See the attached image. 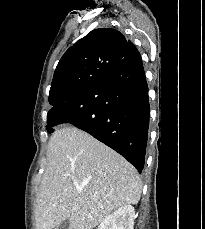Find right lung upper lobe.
<instances>
[{"label": "right lung upper lobe", "mask_w": 205, "mask_h": 229, "mask_svg": "<svg viewBox=\"0 0 205 229\" xmlns=\"http://www.w3.org/2000/svg\"><path fill=\"white\" fill-rule=\"evenodd\" d=\"M132 46L135 47L115 29L99 28L89 32L60 59L54 72L49 103L58 105L104 78L123 61Z\"/></svg>", "instance_id": "obj_1"}]
</instances>
